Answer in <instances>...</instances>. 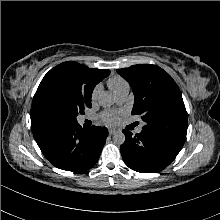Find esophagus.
Listing matches in <instances>:
<instances>
[{"label": "esophagus", "mask_w": 220, "mask_h": 220, "mask_svg": "<svg viewBox=\"0 0 220 220\" xmlns=\"http://www.w3.org/2000/svg\"><path fill=\"white\" fill-rule=\"evenodd\" d=\"M116 131H117L116 129L110 128V129H109V134H110V135H113Z\"/></svg>", "instance_id": "obj_1"}]
</instances>
